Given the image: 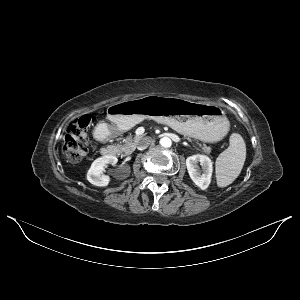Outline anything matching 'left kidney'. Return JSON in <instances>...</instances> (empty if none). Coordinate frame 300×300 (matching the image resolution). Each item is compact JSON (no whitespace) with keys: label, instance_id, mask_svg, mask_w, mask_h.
Here are the masks:
<instances>
[{"label":"left kidney","instance_id":"obj_1","mask_svg":"<svg viewBox=\"0 0 300 300\" xmlns=\"http://www.w3.org/2000/svg\"><path fill=\"white\" fill-rule=\"evenodd\" d=\"M199 163L202 166V172L199 170ZM186 166L192 181L202 190L207 189L213 172L211 159L205 155H193L186 159Z\"/></svg>","mask_w":300,"mask_h":300}]
</instances>
